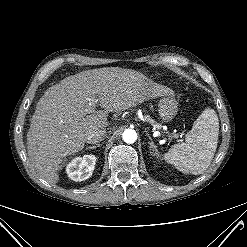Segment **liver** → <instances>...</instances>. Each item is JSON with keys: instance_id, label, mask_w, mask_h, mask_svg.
Masks as SVG:
<instances>
[{"instance_id": "1", "label": "liver", "mask_w": 247, "mask_h": 247, "mask_svg": "<svg viewBox=\"0 0 247 247\" xmlns=\"http://www.w3.org/2000/svg\"><path fill=\"white\" fill-rule=\"evenodd\" d=\"M169 95H174L170 88L123 68L92 69L64 78L45 91L32 116L27 133L32 167L41 178L56 184L63 158L81 151L91 132L107 127L108 112ZM96 104L105 111L95 112Z\"/></svg>"}]
</instances>
